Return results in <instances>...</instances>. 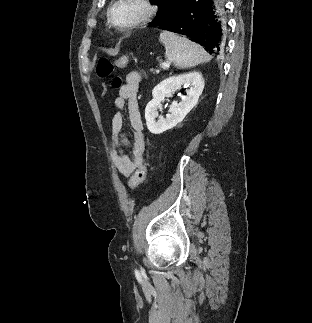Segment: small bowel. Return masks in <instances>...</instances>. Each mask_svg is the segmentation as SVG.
Returning <instances> with one entry per match:
<instances>
[{"label":"small bowel","instance_id":"1","mask_svg":"<svg viewBox=\"0 0 312 323\" xmlns=\"http://www.w3.org/2000/svg\"><path fill=\"white\" fill-rule=\"evenodd\" d=\"M141 82L138 71H131L126 76V82L118 91L114 104L116 112L111 122L109 153L116 169L125 177L144 164L145 132L137 101V92ZM127 106L129 121L133 130V145L131 156L124 153L122 147L128 143L125 136V121L122 111Z\"/></svg>","mask_w":312,"mask_h":323}]
</instances>
